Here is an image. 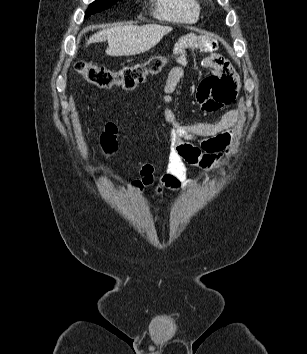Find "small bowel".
<instances>
[{"instance_id":"small-bowel-1","label":"small bowel","mask_w":307,"mask_h":354,"mask_svg":"<svg viewBox=\"0 0 307 354\" xmlns=\"http://www.w3.org/2000/svg\"><path fill=\"white\" fill-rule=\"evenodd\" d=\"M215 44L214 39L207 36L184 38L177 44L176 55L179 65L169 71L163 89V114L170 130L168 162L165 173L159 180L157 188L159 192L163 189L177 191L189 185L185 163L214 168L230 155L232 128L239 116L238 109L227 111L216 122L183 123L176 118L170 107L178 85L184 77V68L188 64L186 51L192 47L208 52L203 65L215 72L214 75L203 79L197 88L196 97L202 110L214 113L235 100L237 79L230 63L215 52ZM117 132V126L109 122L101 135V145L108 154H112L117 148ZM110 141L114 145H110ZM131 166L137 167L141 176V179L131 183L132 189L142 190L152 184L154 168L151 164L133 162Z\"/></svg>"}]
</instances>
